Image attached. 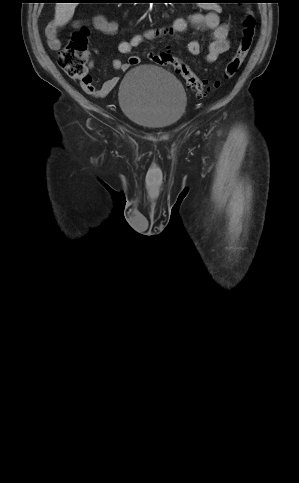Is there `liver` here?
Here are the masks:
<instances>
[{
	"mask_svg": "<svg viewBox=\"0 0 299 483\" xmlns=\"http://www.w3.org/2000/svg\"><path fill=\"white\" fill-rule=\"evenodd\" d=\"M77 3H57L55 7V20L60 26L65 25L73 17Z\"/></svg>",
	"mask_w": 299,
	"mask_h": 483,
	"instance_id": "liver-1",
	"label": "liver"
}]
</instances>
